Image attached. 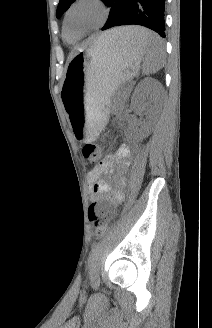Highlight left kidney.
Returning <instances> with one entry per match:
<instances>
[{
    "instance_id": "left-kidney-1",
    "label": "left kidney",
    "mask_w": 212,
    "mask_h": 328,
    "mask_svg": "<svg viewBox=\"0 0 212 328\" xmlns=\"http://www.w3.org/2000/svg\"><path fill=\"white\" fill-rule=\"evenodd\" d=\"M160 83L152 78H146L141 81L136 87L131 101V107L133 110H137L143 103L144 99L148 96L156 99L159 95ZM152 110L149 111V117L151 118ZM130 125H136L137 120L133 117L129 121ZM153 122L151 120L143 123L140 129L137 130V136L144 138L151 133Z\"/></svg>"
}]
</instances>
